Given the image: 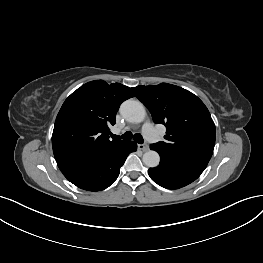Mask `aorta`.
<instances>
[{"instance_id": "aorta-1", "label": "aorta", "mask_w": 263, "mask_h": 263, "mask_svg": "<svg viewBox=\"0 0 263 263\" xmlns=\"http://www.w3.org/2000/svg\"><path fill=\"white\" fill-rule=\"evenodd\" d=\"M121 115L129 122L140 123L145 119L146 110L144 105L137 100L129 99L122 103L120 107ZM160 156L156 151L149 150L143 155V163L147 167H156L159 165Z\"/></svg>"}]
</instances>
